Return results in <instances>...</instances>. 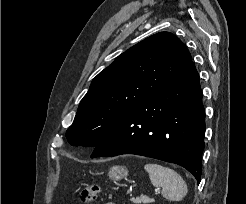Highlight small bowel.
I'll return each instance as SVG.
<instances>
[{
  "instance_id": "1",
  "label": "small bowel",
  "mask_w": 246,
  "mask_h": 204,
  "mask_svg": "<svg viewBox=\"0 0 246 204\" xmlns=\"http://www.w3.org/2000/svg\"><path fill=\"white\" fill-rule=\"evenodd\" d=\"M105 204H114V203H112V202H108V203H105Z\"/></svg>"
}]
</instances>
